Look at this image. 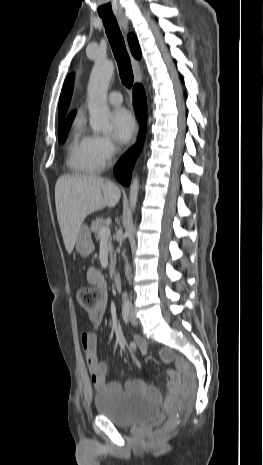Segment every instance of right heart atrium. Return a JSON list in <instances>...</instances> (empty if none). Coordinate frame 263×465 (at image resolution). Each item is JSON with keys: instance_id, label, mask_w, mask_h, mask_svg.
I'll list each match as a JSON object with an SVG mask.
<instances>
[{"instance_id": "obj_1", "label": "right heart atrium", "mask_w": 263, "mask_h": 465, "mask_svg": "<svg viewBox=\"0 0 263 465\" xmlns=\"http://www.w3.org/2000/svg\"><path fill=\"white\" fill-rule=\"evenodd\" d=\"M93 151L97 161L103 167L110 162L117 152L114 141L105 135L93 136Z\"/></svg>"}]
</instances>
